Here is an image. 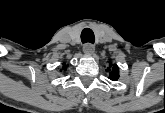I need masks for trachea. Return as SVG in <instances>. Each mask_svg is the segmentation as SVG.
Instances as JSON below:
<instances>
[{
	"instance_id": "3493384b",
	"label": "trachea",
	"mask_w": 165,
	"mask_h": 113,
	"mask_svg": "<svg viewBox=\"0 0 165 113\" xmlns=\"http://www.w3.org/2000/svg\"><path fill=\"white\" fill-rule=\"evenodd\" d=\"M81 40L82 43H94L95 38L93 31L89 28L83 29L81 33Z\"/></svg>"
}]
</instances>
